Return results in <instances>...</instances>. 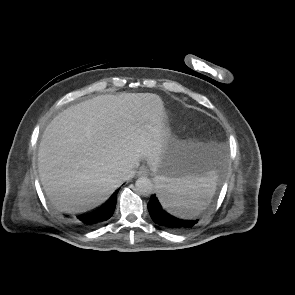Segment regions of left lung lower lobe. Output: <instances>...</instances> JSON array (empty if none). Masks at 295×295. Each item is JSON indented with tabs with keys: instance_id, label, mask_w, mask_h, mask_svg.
Listing matches in <instances>:
<instances>
[{
	"instance_id": "0a47b994",
	"label": "left lung lower lobe",
	"mask_w": 295,
	"mask_h": 295,
	"mask_svg": "<svg viewBox=\"0 0 295 295\" xmlns=\"http://www.w3.org/2000/svg\"><path fill=\"white\" fill-rule=\"evenodd\" d=\"M148 210L152 220L170 231H184L193 227L198 220H186L166 211L159 198L152 195L148 203Z\"/></svg>"
}]
</instances>
